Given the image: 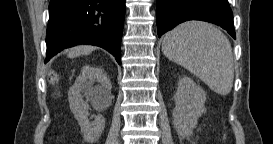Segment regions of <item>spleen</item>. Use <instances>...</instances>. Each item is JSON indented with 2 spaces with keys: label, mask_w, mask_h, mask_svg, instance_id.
<instances>
[{
  "label": "spleen",
  "mask_w": 273,
  "mask_h": 144,
  "mask_svg": "<svg viewBox=\"0 0 273 144\" xmlns=\"http://www.w3.org/2000/svg\"><path fill=\"white\" fill-rule=\"evenodd\" d=\"M162 51L215 93H230L234 78L231 44L212 24L188 21L178 25L165 34Z\"/></svg>",
  "instance_id": "spleen-1"
}]
</instances>
